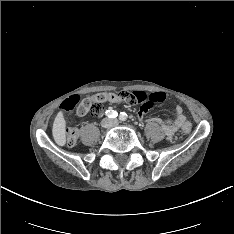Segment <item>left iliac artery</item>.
<instances>
[{"mask_svg":"<svg viewBox=\"0 0 234 234\" xmlns=\"http://www.w3.org/2000/svg\"><path fill=\"white\" fill-rule=\"evenodd\" d=\"M120 121H125L127 120V114L124 112H121L120 116H119Z\"/></svg>","mask_w":234,"mask_h":234,"instance_id":"left-iliac-artery-1","label":"left iliac artery"}]
</instances>
